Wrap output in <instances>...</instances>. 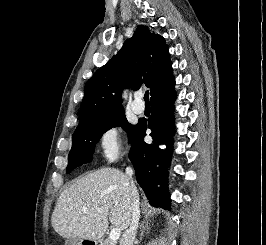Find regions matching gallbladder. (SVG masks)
<instances>
[{
	"instance_id": "1",
	"label": "gallbladder",
	"mask_w": 266,
	"mask_h": 245,
	"mask_svg": "<svg viewBox=\"0 0 266 245\" xmlns=\"http://www.w3.org/2000/svg\"><path fill=\"white\" fill-rule=\"evenodd\" d=\"M75 243V239H66V245H73Z\"/></svg>"
}]
</instances>
